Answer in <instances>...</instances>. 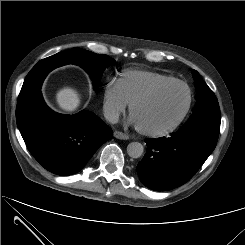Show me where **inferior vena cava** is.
I'll return each mask as SVG.
<instances>
[{
	"label": "inferior vena cava",
	"mask_w": 245,
	"mask_h": 245,
	"mask_svg": "<svg viewBox=\"0 0 245 245\" xmlns=\"http://www.w3.org/2000/svg\"><path fill=\"white\" fill-rule=\"evenodd\" d=\"M104 117L110 123L115 124L119 120V113L117 111H114V110H107L104 112Z\"/></svg>",
	"instance_id": "602c4592"
}]
</instances>
